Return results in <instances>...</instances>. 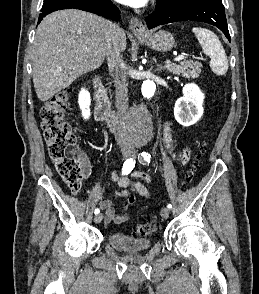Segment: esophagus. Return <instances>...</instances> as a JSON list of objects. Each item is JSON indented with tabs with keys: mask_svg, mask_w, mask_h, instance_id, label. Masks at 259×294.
<instances>
[{
	"mask_svg": "<svg viewBox=\"0 0 259 294\" xmlns=\"http://www.w3.org/2000/svg\"><path fill=\"white\" fill-rule=\"evenodd\" d=\"M129 27L137 37H143L146 35V27L137 17L130 18Z\"/></svg>",
	"mask_w": 259,
	"mask_h": 294,
	"instance_id": "1",
	"label": "esophagus"
}]
</instances>
